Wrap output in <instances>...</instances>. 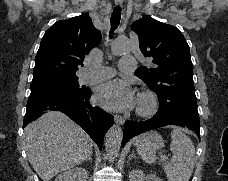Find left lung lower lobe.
Returning <instances> with one entry per match:
<instances>
[{
  "label": "left lung lower lobe",
  "instance_id": "1",
  "mask_svg": "<svg viewBox=\"0 0 228 181\" xmlns=\"http://www.w3.org/2000/svg\"><path fill=\"white\" fill-rule=\"evenodd\" d=\"M167 125L186 126L195 131L200 138L199 118L190 114L164 116L158 111L151 119H148L146 121H126L124 124L122 146H124L129 139L136 135Z\"/></svg>",
  "mask_w": 228,
  "mask_h": 181
}]
</instances>
